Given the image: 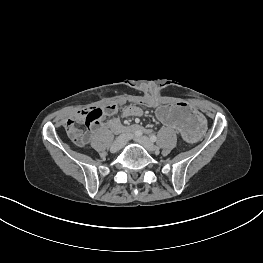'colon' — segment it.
Masks as SVG:
<instances>
[{"mask_svg":"<svg viewBox=\"0 0 263 263\" xmlns=\"http://www.w3.org/2000/svg\"><path fill=\"white\" fill-rule=\"evenodd\" d=\"M147 104H152V98L145 101ZM117 105H109L105 109L91 108L83 111L80 119H69L64 124L65 131L69 138L76 144L82 145L88 139L87 131L80 128L78 123L83 122L88 129L95 128L105 115L111 114Z\"/></svg>","mask_w":263,"mask_h":263,"instance_id":"obj_1","label":"colon"}]
</instances>
